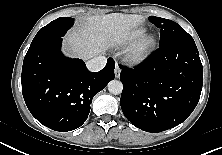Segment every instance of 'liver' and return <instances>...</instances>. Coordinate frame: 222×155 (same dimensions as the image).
I'll list each match as a JSON object with an SVG mask.
<instances>
[{
    "label": "liver",
    "mask_w": 222,
    "mask_h": 155,
    "mask_svg": "<svg viewBox=\"0 0 222 155\" xmlns=\"http://www.w3.org/2000/svg\"><path fill=\"white\" fill-rule=\"evenodd\" d=\"M143 20L142 15L121 13L88 17L79 29L67 35L66 48L84 60L94 58L108 46L127 38Z\"/></svg>",
    "instance_id": "6515ba94"
}]
</instances>
